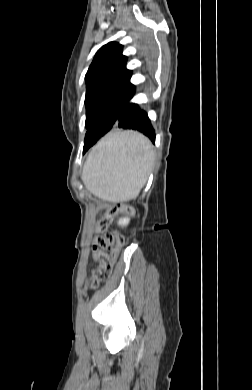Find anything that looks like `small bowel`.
Masks as SVG:
<instances>
[{
    "mask_svg": "<svg viewBox=\"0 0 252 390\" xmlns=\"http://www.w3.org/2000/svg\"><path fill=\"white\" fill-rule=\"evenodd\" d=\"M94 259H95V260H97V257H96V256H94Z\"/></svg>",
    "mask_w": 252,
    "mask_h": 390,
    "instance_id": "c3829d8e",
    "label": "small bowel"
}]
</instances>
